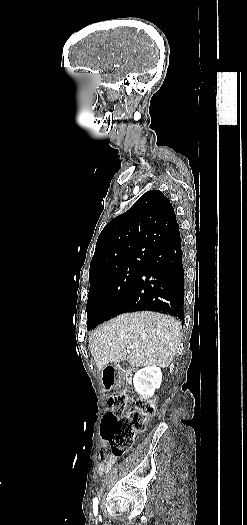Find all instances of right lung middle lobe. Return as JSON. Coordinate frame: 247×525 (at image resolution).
Segmentation results:
<instances>
[{
    "mask_svg": "<svg viewBox=\"0 0 247 525\" xmlns=\"http://www.w3.org/2000/svg\"><path fill=\"white\" fill-rule=\"evenodd\" d=\"M143 266L144 258H141L126 267L89 274L90 289L86 306L88 330L114 317Z\"/></svg>",
    "mask_w": 247,
    "mask_h": 525,
    "instance_id": "1",
    "label": "right lung middle lobe"
}]
</instances>
